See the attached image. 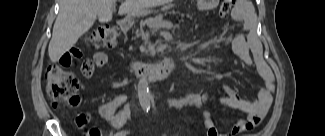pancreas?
I'll return each mask as SVG.
<instances>
[{
    "mask_svg": "<svg viewBox=\"0 0 325 136\" xmlns=\"http://www.w3.org/2000/svg\"><path fill=\"white\" fill-rule=\"evenodd\" d=\"M167 19H171L172 23H179V24H184L186 22V19L190 18V13L189 12H178L177 9H168L167 10ZM134 33H138V36L140 38H151L152 34L151 33H143V25L141 23H138L136 25V28L133 29Z\"/></svg>",
    "mask_w": 325,
    "mask_h": 136,
    "instance_id": "pancreas-1",
    "label": "pancreas"
}]
</instances>
